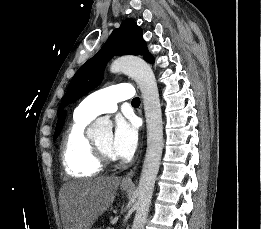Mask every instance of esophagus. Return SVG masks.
Instances as JSON below:
<instances>
[{
    "label": "esophagus",
    "mask_w": 261,
    "mask_h": 229,
    "mask_svg": "<svg viewBox=\"0 0 261 229\" xmlns=\"http://www.w3.org/2000/svg\"><path fill=\"white\" fill-rule=\"evenodd\" d=\"M136 165L133 166V168L123 177L121 184L122 185H129L134 186V183L132 182V177L134 175Z\"/></svg>",
    "instance_id": "1"
}]
</instances>
